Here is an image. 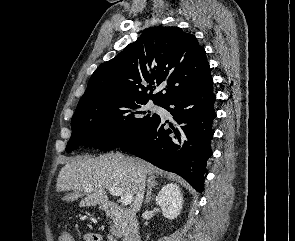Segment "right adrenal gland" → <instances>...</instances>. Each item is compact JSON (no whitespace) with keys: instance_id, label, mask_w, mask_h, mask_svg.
<instances>
[{"instance_id":"1","label":"right adrenal gland","mask_w":295,"mask_h":241,"mask_svg":"<svg viewBox=\"0 0 295 241\" xmlns=\"http://www.w3.org/2000/svg\"><path fill=\"white\" fill-rule=\"evenodd\" d=\"M158 183L156 181V176L155 175H150L147 181V195H146V200H145V204L150 203L151 201V195H152V189L155 188V186H157Z\"/></svg>"}]
</instances>
